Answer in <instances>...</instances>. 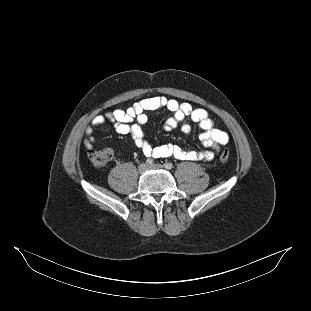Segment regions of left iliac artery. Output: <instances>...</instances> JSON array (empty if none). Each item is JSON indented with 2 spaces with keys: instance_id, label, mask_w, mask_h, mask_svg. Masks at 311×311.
<instances>
[{
  "instance_id": "left-iliac-artery-1",
  "label": "left iliac artery",
  "mask_w": 311,
  "mask_h": 311,
  "mask_svg": "<svg viewBox=\"0 0 311 311\" xmlns=\"http://www.w3.org/2000/svg\"><path fill=\"white\" fill-rule=\"evenodd\" d=\"M164 167H165L166 169L170 170V169L173 168V164L170 163V162H167V163L164 164Z\"/></svg>"
}]
</instances>
